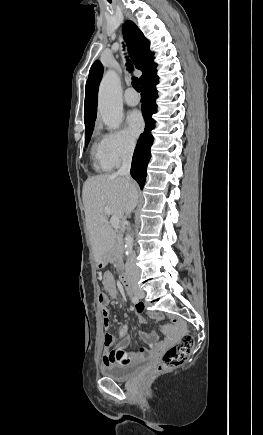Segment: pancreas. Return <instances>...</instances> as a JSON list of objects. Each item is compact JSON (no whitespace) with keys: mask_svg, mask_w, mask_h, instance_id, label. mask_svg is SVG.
<instances>
[{"mask_svg":"<svg viewBox=\"0 0 263 435\" xmlns=\"http://www.w3.org/2000/svg\"><path fill=\"white\" fill-rule=\"evenodd\" d=\"M108 257L109 260L114 263L118 270H121L123 268V247L121 237L119 235L116 236Z\"/></svg>","mask_w":263,"mask_h":435,"instance_id":"1","label":"pancreas"}]
</instances>
